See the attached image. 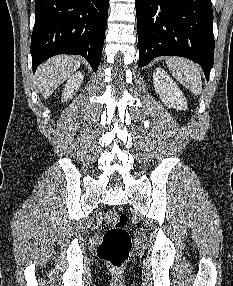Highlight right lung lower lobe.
I'll return each instance as SVG.
<instances>
[{
	"label": "right lung lower lobe",
	"mask_w": 233,
	"mask_h": 286,
	"mask_svg": "<svg viewBox=\"0 0 233 286\" xmlns=\"http://www.w3.org/2000/svg\"><path fill=\"white\" fill-rule=\"evenodd\" d=\"M109 0H35L31 38L33 73L57 54L81 55L96 71L106 30Z\"/></svg>",
	"instance_id": "obj_1"
}]
</instances>
